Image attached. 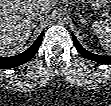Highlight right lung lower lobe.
<instances>
[{
    "label": "right lung lower lobe",
    "mask_w": 111,
    "mask_h": 106,
    "mask_svg": "<svg viewBox=\"0 0 111 106\" xmlns=\"http://www.w3.org/2000/svg\"><path fill=\"white\" fill-rule=\"evenodd\" d=\"M42 38H43V32L39 35V37L32 44V46L29 47L23 53L11 57H0V68L1 69L14 68L29 61L39 49Z\"/></svg>",
    "instance_id": "98d812e1"
}]
</instances>
